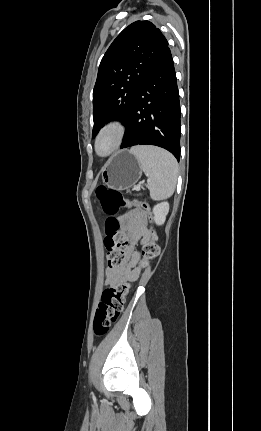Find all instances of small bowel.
Wrapping results in <instances>:
<instances>
[{
	"mask_svg": "<svg viewBox=\"0 0 261 431\" xmlns=\"http://www.w3.org/2000/svg\"><path fill=\"white\" fill-rule=\"evenodd\" d=\"M123 227L129 235V245L125 250L126 261L119 266L109 267L105 272V283L108 286H116L126 280H136L140 270L137 264L140 260V251L135 245L144 244L148 237L145 213L140 209L130 210L122 220Z\"/></svg>",
	"mask_w": 261,
	"mask_h": 431,
	"instance_id": "1",
	"label": "small bowel"
}]
</instances>
